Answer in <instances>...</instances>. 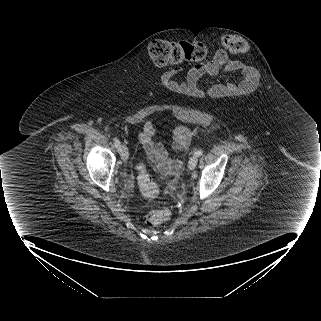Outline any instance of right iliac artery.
<instances>
[{"mask_svg": "<svg viewBox=\"0 0 321 321\" xmlns=\"http://www.w3.org/2000/svg\"><path fill=\"white\" fill-rule=\"evenodd\" d=\"M114 144H115L116 148L118 149V151H120L121 145H120V141L117 138H114Z\"/></svg>", "mask_w": 321, "mask_h": 321, "instance_id": "right-iliac-artery-1", "label": "right iliac artery"}]
</instances>
